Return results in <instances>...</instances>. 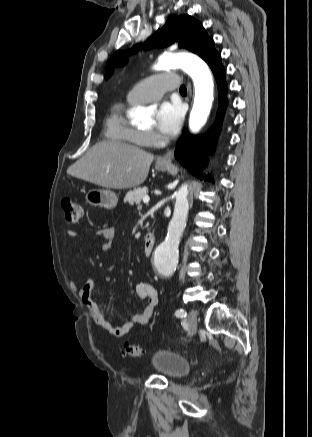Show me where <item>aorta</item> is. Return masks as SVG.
<instances>
[{
    "label": "aorta",
    "mask_w": 312,
    "mask_h": 437,
    "mask_svg": "<svg viewBox=\"0 0 312 437\" xmlns=\"http://www.w3.org/2000/svg\"><path fill=\"white\" fill-rule=\"evenodd\" d=\"M180 67L191 76L195 97L189 118V128L192 132H198L206 123L212 107L214 83L207 64L199 57L187 53H168L159 57L155 66L156 70H165ZM135 117L146 121V110L139 107L135 111ZM188 185H182L176 193V202L173 217L168 226L166 239L162 242L155 253V267L161 275H170L178 264V244L184 231L188 211Z\"/></svg>",
    "instance_id": "1"
}]
</instances>
